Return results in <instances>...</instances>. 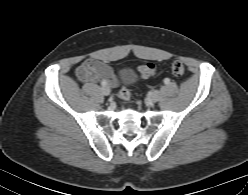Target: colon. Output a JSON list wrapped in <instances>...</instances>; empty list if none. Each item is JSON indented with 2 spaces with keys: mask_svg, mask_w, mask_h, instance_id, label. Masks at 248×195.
Here are the masks:
<instances>
[{
  "mask_svg": "<svg viewBox=\"0 0 248 195\" xmlns=\"http://www.w3.org/2000/svg\"><path fill=\"white\" fill-rule=\"evenodd\" d=\"M170 71L176 77H182L185 74V66L183 62L175 60L170 64ZM141 76L145 79L153 78L157 74V67L154 64L146 63L139 68ZM118 96L123 101L131 98V91L128 86L123 85L118 91Z\"/></svg>",
  "mask_w": 248,
  "mask_h": 195,
  "instance_id": "1",
  "label": "colon"
}]
</instances>
